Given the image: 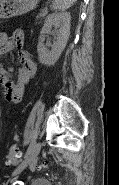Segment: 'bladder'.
<instances>
[{
    "mask_svg": "<svg viewBox=\"0 0 119 185\" xmlns=\"http://www.w3.org/2000/svg\"><path fill=\"white\" fill-rule=\"evenodd\" d=\"M31 185H52L50 181L46 179H36L34 180Z\"/></svg>",
    "mask_w": 119,
    "mask_h": 185,
    "instance_id": "1",
    "label": "bladder"
}]
</instances>
